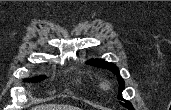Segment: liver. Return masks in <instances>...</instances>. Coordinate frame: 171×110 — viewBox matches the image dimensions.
<instances>
[{
    "mask_svg": "<svg viewBox=\"0 0 171 110\" xmlns=\"http://www.w3.org/2000/svg\"><path fill=\"white\" fill-rule=\"evenodd\" d=\"M32 110H80L78 107L70 105L45 104L34 107Z\"/></svg>",
    "mask_w": 171,
    "mask_h": 110,
    "instance_id": "liver-1",
    "label": "liver"
}]
</instances>
